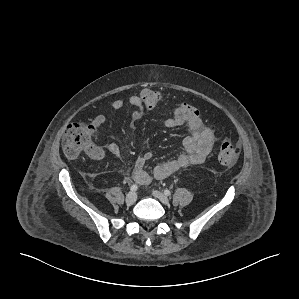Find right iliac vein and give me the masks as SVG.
Instances as JSON below:
<instances>
[{
	"label": "right iliac vein",
	"mask_w": 299,
	"mask_h": 299,
	"mask_svg": "<svg viewBox=\"0 0 299 299\" xmlns=\"http://www.w3.org/2000/svg\"><path fill=\"white\" fill-rule=\"evenodd\" d=\"M136 200H137V194L135 192H129L126 195V198H125L126 204L132 205L135 203Z\"/></svg>",
	"instance_id": "obj_1"
}]
</instances>
